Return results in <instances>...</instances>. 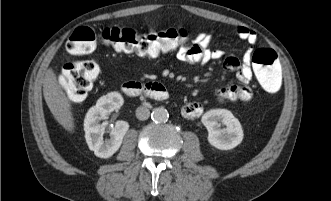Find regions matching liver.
Listing matches in <instances>:
<instances>
[{"mask_svg":"<svg viewBox=\"0 0 331 201\" xmlns=\"http://www.w3.org/2000/svg\"><path fill=\"white\" fill-rule=\"evenodd\" d=\"M43 95L55 120L65 130L74 131L75 124L71 103L58 83L56 74L52 68L46 70L43 79Z\"/></svg>","mask_w":331,"mask_h":201,"instance_id":"liver-1","label":"liver"}]
</instances>
